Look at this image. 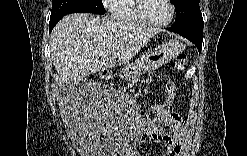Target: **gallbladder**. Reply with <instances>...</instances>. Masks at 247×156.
I'll list each match as a JSON object with an SVG mask.
<instances>
[{
	"label": "gallbladder",
	"mask_w": 247,
	"mask_h": 156,
	"mask_svg": "<svg viewBox=\"0 0 247 156\" xmlns=\"http://www.w3.org/2000/svg\"><path fill=\"white\" fill-rule=\"evenodd\" d=\"M74 82L72 80H69L67 83L63 84L61 87V90L63 93H70L72 88L74 87Z\"/></svg>",
	"instance_id": "obj_1"
}]
</instances>
